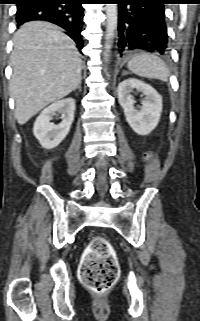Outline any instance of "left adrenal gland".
<instances>
[{
  "label": "left adrenal gland",
  "instance_id": "a2214340",
  "mask_svg": "<svg viewBox=\"0 0 200 321\" xmlns=\"http://www.w3.org/2000/svg\"><path fill=\"white\" fill-rule=\"evenodd\" d=\"M125 74H127V72H126V71H123V75H125Z\"/></svg>",
  "mask_w": 200,
  "mask_h": 321
}]
</instances>
